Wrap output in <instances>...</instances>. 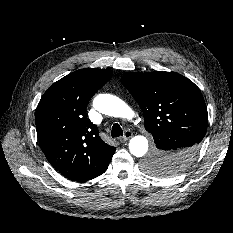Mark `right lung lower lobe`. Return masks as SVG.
<instances>
[{"mask_svg": "<svg viewBox=\"0 0 233 233\" xmlns=\"http://www.w3.org/2000/svg\"><path fill=\"white\" fill-rule=\"evenodd\" d=\"M110 161H109V163H110ZM109 163L98 174L85 175L83 173H77L72 178H70V180H74V181H87V180L93 179L94 177H97V176L101 175L102 173H104L106 171Z\"/></svg>", "mask_w": 233, "mask_h": 233, "instance_id": "98d812e1", "label": "right lung lower lobe"}]
</instances>
